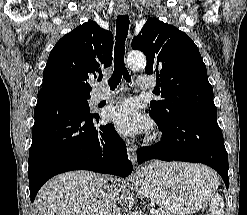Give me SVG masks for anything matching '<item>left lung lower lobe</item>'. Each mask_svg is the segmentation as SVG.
I'll use <instances>...</instances> for the list:
<instances>
[{"instance_id": "obj_1", "label": "left lung lower lobe", "mask_w": 247, "mask_h": 215, "mask_svg": "<svg viewBox=\"0 0 247 215\" xmlns=\"http://www.w3.org/2000/svg\"><path fill=\"white\" fill-rule=\"evenodd\" d=\"M150 116L162 131V139L138 150L139 164L152 159L203 163L215 169L228 188V155L217 114L180 113L168 120L152 110Z\"/></svg>"}]
</instances>
